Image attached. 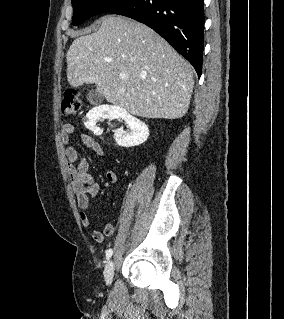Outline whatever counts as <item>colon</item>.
Here are the masks:
<instances>
[{"instance_id":"colon-1","label":"colon","mask_w":284,"mask_h":319,"mask_svg":"<svg viewBox=\"0 0 284 319\" xmlns=\"http://www.w3.org/2000/svg\"><path fill=\"white\" fill-rule=\"evenodd\" d=\"M81 102L78 94L74 90H66L61 99V116L64 120L69 119L79 113Z\"/></svg>"}]
</instances>
